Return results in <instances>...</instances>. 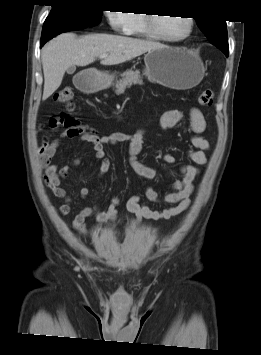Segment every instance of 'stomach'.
Here are the masks:
<instances>
[{"label": "stomach", "instance_id": "obj_1", "mask_svg": "<svg viewBox=\"0 0 261 355\" xmlns=\"http://www.w3.org/2000/svg\"><path fill=\"white\" fill-rule=\"evenodd\" d=\"M145 75L152 82L184 90L198 85L204 77L202 61L191 52L177 47H161L149 51L145 57ZM114 75L91 70L84 82L85 88L96 90L111 85Z\"/></svg>", "mask_w": 261, "mask_h": 355}]
</instances>
